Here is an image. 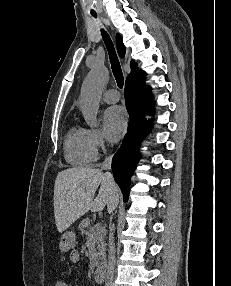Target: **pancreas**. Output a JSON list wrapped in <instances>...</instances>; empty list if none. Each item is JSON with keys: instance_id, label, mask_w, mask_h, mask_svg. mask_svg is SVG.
<instances>
[{"instance_id": "pancreas-1", "label": "pancreas", "mask_w": 231, "mask_h": 286, "mask_svg": "<svg viewBox=\"0 0 231 286\" xmlns=\"http://www.w3.org/2000/svg\"><path fill=\"white\" fill-rule=\"evenodd\" d=\"M81 235H86L87 239H93L96 243L97 252L95 253L94 265H99L100 260L105 257V227H96L93 225L89 218H85L79 224Z\"/></svg>"}]
</instances>
